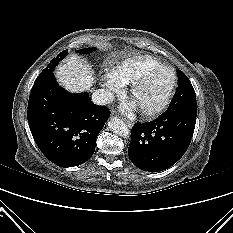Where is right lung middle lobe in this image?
<instances>
[{
  "instance_id": "1",
  "label": "right lung middle lobe",
  "mask_w": 233,
  "mask_h": 233,
  "mask_svg": "<svg viewBox=\"0 0 233 233\" xmlns=\"http://www.w3.org/2000/svg\"><path fill=\"white\" fill-rule=\"evenodd\" d=\"M95 49L96 48L94 47L87 48V49H80V50H76V52L80 54H89V53H92ZM67 51L68 50L62 51L59 55H57L56 58L51 60L49 65L39 74V76L37 77L34 83L46 80L47 78L52 76L55 66H57V64L63 59V57L67 55Z\"/></svg>"
}]
</instances>
